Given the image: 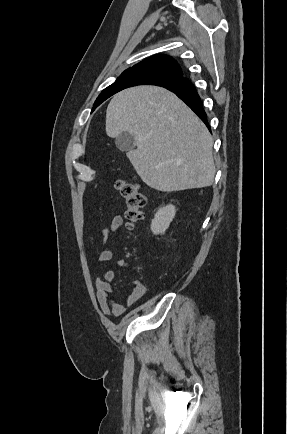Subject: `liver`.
Wrapping results in <instances>:
<instances>
[{
    "mask_svg": "<svg viewBox=\"0 0 287 434\" xmlns=\"http://www.w3.org/2000/svg\"><path fill=\"white\" fill-rule=\"evenodd\" d=\"M131 133L137 149L127 156L149 187L172 192L211 186L213 139L196 114L174 93L138 86L116 94L106 111V133Z\"/></svg>",
    "mask_w": 287,
    "mask_h": 434,
    "instance_id": "obj_1",
    "label": "liver"
}]
</instances>
